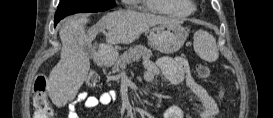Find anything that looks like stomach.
Instances as JSON below:
<instances>
[{"label": "stomach", "mask_w": 273, "mask_h": 118, "mask_svg": "<svg viewBox=\"0 0 273 118\" xmlns=\"http://www.w3.org/2000/svg\"><path fill=\"white\" fill-rule=\"evenodd\" d=\"M188 33L180 24H159L150 30L152 48L165 54L177 52L184 44Z\"/></svg>", "instance_id": "1"}]
</instances>
